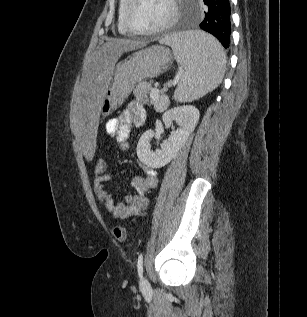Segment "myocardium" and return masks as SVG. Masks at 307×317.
I'll return each instance as SVG.
<instances>
[{
    "label": "myocardium",
    "instance_id": "1",
    "mask_svg": "<svg viewBox=\"0 0 307 317\" xmlns=\"http://www.w3.org/2000/svg\"><path fill=\"white\" fill-rule=\"evenodd\" d=\"M135 1L136 0H127V4L125 6L124 13H123L124 26L129 33H131L133 35H140V36H155V35H158L160 33L167 31L177 22V19H178L177 1L176 0H169L170 6H171V14L165 23H163L162 25L155 27L153 29H149V30L135 29L131 25L130 18H129L131 7Z\"/></svg>",
    "mask_w": 307,
    "mask_h": 317
}]
</instances>
